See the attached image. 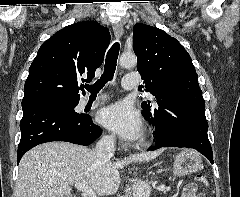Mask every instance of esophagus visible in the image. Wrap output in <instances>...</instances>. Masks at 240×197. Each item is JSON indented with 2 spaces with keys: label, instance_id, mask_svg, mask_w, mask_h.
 <instances>
[{
  "label": "esophagus",
  "instance_id": "esophagus-1",
  "mask_svg": "<svg viewBox=\"0 0 240 197\" xmlns=\"http://www.w3.org/2000/svg\"><path fill=\"white\" fill-rule=\"evenodd\" d=\"M113 31H114V36L118 40L122 37L123 35V28L120 24H115L113 26Z\"/></svg>",
  "mask_w": 240,
  "mask_h": 197
}]
</instances>
